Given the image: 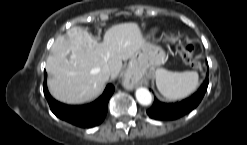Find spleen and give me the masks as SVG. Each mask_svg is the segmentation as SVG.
<instances>
[{
  "instance_id": "spleen-1",
  "label": "spleen",
  "mask_w": 247,
  "mask_h": 145,
  "mask_svg": "<svg viewBox=\"0 0 247 145\" xmlns=\"http://www.w3.org/2000/svg\"><path fill=\"white\" fill-rule=\"evenodd\" d=\"M155 78L159 92L173 101L186 98L199 86V76L195 71L172 72L159 68Z\"/></svg>"
}]
</instances>
